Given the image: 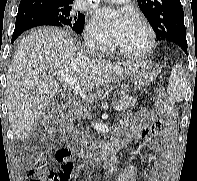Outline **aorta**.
<instances>
[{
	"label": "aorta",
	"mask_w": 197,
	"mask_h": 181,
	"mask_svg": "<svg viewBox=\"0 0 197 181\" xmlns=\"http://www.w3.org/2000/svg\"><path fill=\"white\" fill-rule=\"evenodd\" d=\"M107 166H111V163L110 162H107Z\"/></svg>",
	"instance_id": "obj_1"
}]
</instances>
